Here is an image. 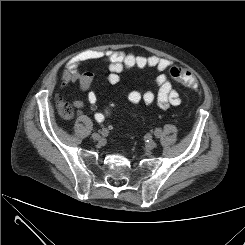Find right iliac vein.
Returning a JSON list of instances; mask_svg holds the SVG:
<instances>
[{"instance_id":"63e3f726","label":"right iliac vein","mask_w":245,"mask_h":245,"mask_svg":"<svg viewBox=\"0 0 245 245\" xmlns=\"http://www.w3.org/2000/svg\"><path fill=\"white\" fill-rule=\"evenodd\" d=\"M92 139L95 141H100L102 138L99 134L94 133V134H92Z\"/></svg>"}]
</instances>
